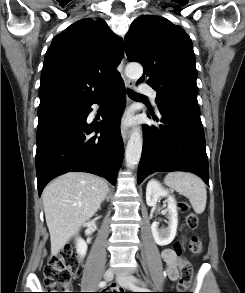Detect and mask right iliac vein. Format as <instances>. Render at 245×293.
<instances>
[{
	"mask_svg": "<svg viewBox=\"0 0 245 293\" xmlns=\"http://www.w3.org/2000/svg\"><path fill=\"white\" fill-rule=\"evenodd\" d=\"M114 277V272L112 270H107L105 273H104V278L106 281H111Z\"/></svg>",
	"mask_w": 245,
	"mask_h": 293,
	"instance_id": "right-iliac-vein-1",
	"label": "right iliac vein"
}]
</instances>
